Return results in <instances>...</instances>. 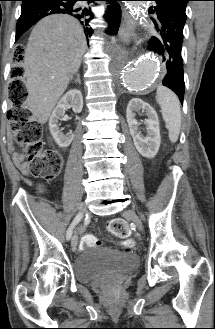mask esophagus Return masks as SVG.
<instances>
[{"label": "esophagus", "instance_id": "34e87169", "mask_svg": "<svg viewBox=\"0 0 215 329\" xmlns=\"http://www.w3.org/2000/svg\"><path fill=\"white\" fill-rule=\"evenodd\" d=\"M134 20L129 12L124 9L122 13L121 25L119 28V40L125 44H130L133 36Z\"/></svg>", "mask_w": 215, "mask_h": 329}]
</instances>
